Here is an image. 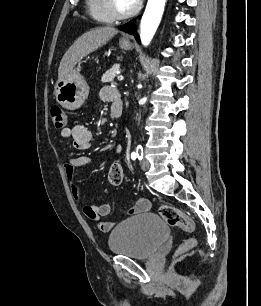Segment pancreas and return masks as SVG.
I'll return each mask as SVG.
<instances>
[{"label": "pancreas", "mask_w": 261, "mask_h": 306, "mask_svg": "<svg viewBox=\"0 0 261 306\" xmlns=\"http://www.w3.org/2000/svg\"><path fill=\"white\" fill-rule=\"evenodd\" d=\"M119 70V65H114L113 67H111L108 71H106L102 78H101V81L103 83H113V79L115 78L116 76V72Z\"/></svg>", "instance_id": "cf45deb5"}]
</instances>
